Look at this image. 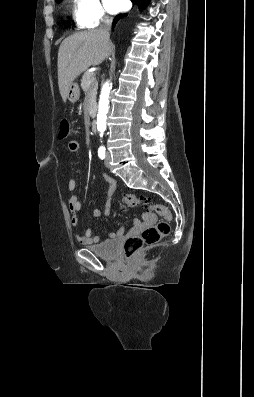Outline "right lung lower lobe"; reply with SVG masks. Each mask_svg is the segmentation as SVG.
Returning a JSON list of instances; mask_svg holds the SVG:
<instances>
[{"mask_svg": "<svg viewBox=\"0 0 254 397\" xmlns=\"http://www.w3.org/2000/svg\"><path fill=\"white\" fill-rule=\"evenodd\" d=\"M134 4H137L140 10L144 9V7L148 4L149 0H131ZM128 14H119L115 17L113 21V28L115 27L116 23L123 17L127 16Z\"/></svg>", "mask_w": 254, "mask_h": 397, "instance_id": "1", "label": "right lung lower lobe"}]
</instances>
